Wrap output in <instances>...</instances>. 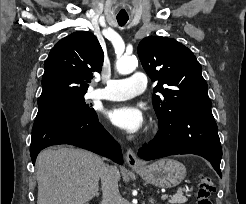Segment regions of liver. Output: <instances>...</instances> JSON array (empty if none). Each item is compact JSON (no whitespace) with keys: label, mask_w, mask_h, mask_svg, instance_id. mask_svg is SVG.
<instances>
[{"label":"liver","mask_w":246,"mask_h":204,"mask_svg":"<svg viewBox=\"0 0 246 204\" xmlns=\"http://www.w3.org/2000/svg\"><path fill=\"white\" fill-rule=\"evenodd\" d=\"M103 167V159L89 151L45 149L37 158V204H87L98 195ZM120 177L117 169V181Z\"/></svg>","instance_id":"liver-1"}]
</instances>
